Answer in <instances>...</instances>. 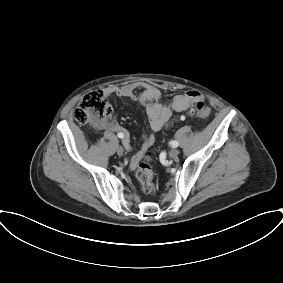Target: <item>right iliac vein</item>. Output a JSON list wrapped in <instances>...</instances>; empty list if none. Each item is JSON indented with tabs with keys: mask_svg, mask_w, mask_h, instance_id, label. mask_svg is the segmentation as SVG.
<instances>
[{
	"mask_svg": "<svg viewBox=\"0 0 283 283\" xmlns=\"http://www.w3.org/2000/svg\"><path fill=\"white\" fill-rule=\"evenodd\" d=\"M123 153H124L123 147H122V146H118V147H117V154H118L119 156H122Z\"/></svg>",
	"mask_w": 283,
	"mask_h": 283,
	"instance_id": "right-iliac-vein-1",
	"label": "right iliac vein"
}]
</instances>
